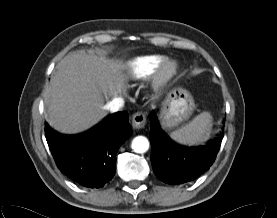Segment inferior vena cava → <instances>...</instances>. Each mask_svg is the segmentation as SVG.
<instances>
[{
    "mask_svg": "<svg viewBox=\"0 0 277 218\" xmlns=\"http://www.w3.org/2000/svg\"><path fill=\"white\" fill-rule=\"evenodd\" d=\"M124 100L120 97L114 98L109 104L108 107L111 112H116L121 110L124 107Z\"/></svg>",
    "mask_w": 277,
    "mask_h": 218,
    "instance_id": "obj_1",
    "label": "inferior vena cava"
}]
</instances>
